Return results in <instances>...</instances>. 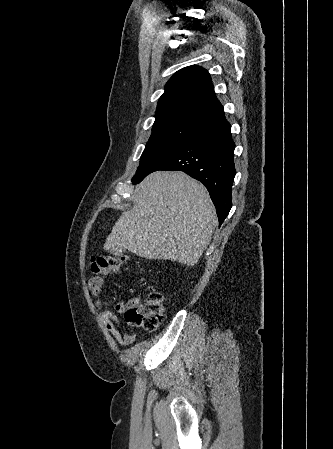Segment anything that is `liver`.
<instances>
[{"mask_svg": "<svg viewBox=\"0 0 333 449\" xmlns=\"http://www.w3.org/2000/svg\"><path fill=\"white\" fill-rule=\"evenodd\" d=\"M134 194V206L115 223L104 249L194 266L218 224L204 185L184 172L157 171Z\"/></svg>", "mask_w": 333, "mask_h": 449, "instance_id": "obj_1", "label": "liver"}]
</instances>
